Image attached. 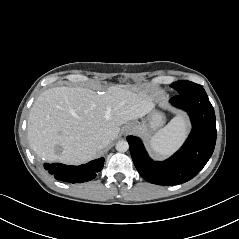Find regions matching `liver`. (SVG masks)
I'll use <instances>...</instances> for the list:
<instances>
[{
    "label": "liver",
    "mask_w": 239,
    "mask_h": 239,
    "mask_svg": "<svg viewBox=\"0 0 239 239\" xmlns=\"http://www.w3.org/2000/svg\"><path fill=\"white\" fill-rule=\"evenodd\" d=\"M154 108L152 97L135 86L114 85L105 93L86 88L55 87L34 102L28 117L31 148L46 161L81 164L110 143L120 126L142 118Z\"/></svg>",
    "instance_id": "1"
}]
</instances>
